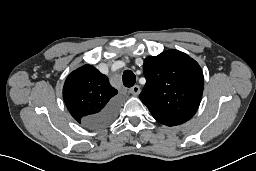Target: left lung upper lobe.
I'll list each match as a JSON object with an SVG mask.
<instances>
[{
  "mask_svg": "<svg viewBox=\"0 0 256 171\" xmlns=\"http://www.w3.org/2000/svg\"><path fill=\"white\" fill-rule=\"evenodd\" d=\"M143 70L146 84L140 99L159 123L175 126L193 117L204 87L202 70L194 59L171 49L147 57Z\"/></svg>",
  "mask_w": 256,
  "mask_h": 171,
  "instance_id": "5c2ea615",
  "label": "left lung upper lobe"
}]
</instances>
